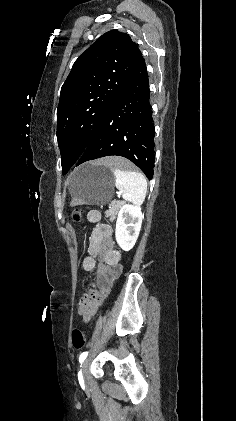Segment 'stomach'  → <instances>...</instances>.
Listing matches in <instances>:
<instances>
[{
  "label": "stomach",
  "instance_id": "obj_1",
  "mask_svg": "<svg viewBox=\"0 0 236 421\" xmlns=\"http://www.w3.org/2000/svg\"><path fill=\"white\" fill-rule=\"evenodd\" d=\"M115 172L111 166L85 162L72 174L71 194L77 204H107L114 194Z\"/></svg>",
  "mask_w": 236,
  "mask_h": 421
}]
</instances>
